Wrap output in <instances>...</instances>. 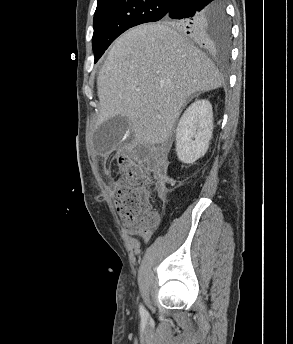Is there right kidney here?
Wrapping results in <instances>:
<instances>
[{"label": "right kidney", "mask_w": 293, "mask_h": 344, "mask_svg": "<svg viewBox=\"0 0 293 344\" xmlns=\"http://www.w3.org/2000/svg\"><path fill=\"white\" fill-rule=\"evenodd\" d=\"M213 130L212 105L206 99L196 100L183 113L176 129L178 159L192 164L204 156Z\"/></svg>", "instance_id": "1"}]
</instances>
